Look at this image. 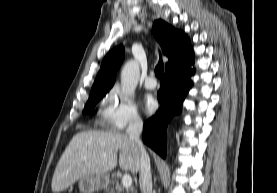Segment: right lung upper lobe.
Wrapping results in <instances>:
<instances>
[{
  "label": "right lung upper lobe",
  "instance_id": "cb5924a9",
  "mask_svg": "<svg viewBox=\"0 0 277 193\" xmlns=\"http://www.w3.org/2000/svg\"><path fill=\"white\" fill-rule=\"evenodd\" d=\"M153 32L162 47L163 54L169 58L166 68L192 51L190 41L184 32L174 29L161 19L154 22ZM124 55L123 46L114 48L106 55L90 94L109 91L115 82L116 71L123 62Z\"/></svg>",
  "mask_w": 277,
  "mask_h": 193
}]
</instances>
